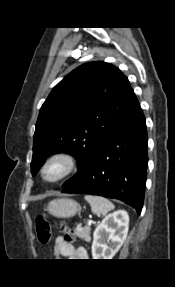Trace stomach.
<instances>
[{"instance_id":"0dacf381","label":"stomach","mask_w":175,"mask_h":287,"mask_svg":"<svg viewBox=\"0 0 175 287\" xmlns=\"http://www.w3.org/2000/svg\"><path fill=\"white\" fill-rule=\"evenodd\" d=\"M46 210L54 217L70 218L79 212L80 206L73 199L58 198L50 201Z\"/></svg>"}]
</instances>
